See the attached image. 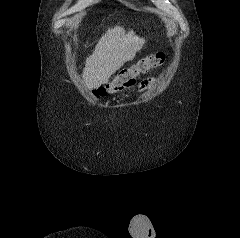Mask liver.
Returning <instances> with one entry per match:
<instances>
[{
  "instance_id": "liver-1",
  "label": "liver",
  "mask_w": 240,
  "mask_h": 238,
  "mask_svg": "<svg viewBox=\"0 0 240 238\" xmlns=\"http://www.w3.org/2000/svg\"><path fill=\"white\" fill-rule=\"evenodd\" d=\"M145 40L121 26L108 29L87 59L82 77L88 89H97L108 83L109 78L123 64L132 60L143 47Z\"/></svg>"
}]
</instances>
